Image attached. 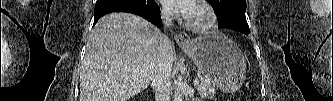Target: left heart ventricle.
<instances>
[{"mask_svg": "<svg viewBox=\"0 0 333 101\" xmlns=\"http://www.w3.org/2000/svg\"><path fill=\"white\" fill-rule=\"evenodd\" d=\"M188 18L194 22H203L206 17L201 9L194 6L193 11Z\"/></svg>", "mask_w": 333, "mask_h": 101, "instance_id": "left-heart-ventricle-1", "label": "left heart ventricle"}]
</instances>
